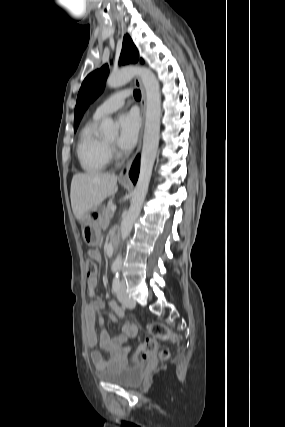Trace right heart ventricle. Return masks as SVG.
<instances>
[{
	"label": "right heart ventricle",
	"instance_id": "1",
	"mask_svg": "<svg viewBox=\"0 0 285 427\" xmlns=\"http://www.w3.org/2000/svg\"><path fill=\"white\" fill-rule=\"evenodd\" d=\"M99 119L93 117L81 129L76 155L80 167L90 174L102 172L110 162V150L106 140L97 131Z\"/></svg>",
	"mask_w": 285,
	"mask_h": 427
}]
</instances>
